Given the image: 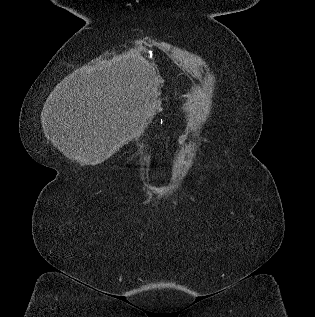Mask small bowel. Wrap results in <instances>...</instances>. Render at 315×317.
<instances>
[{"label":"small bowel","mask_w":315,"mask_h":317,"mask_svg":"<svg viewBox=\"0 0 315 317\" xmlns=\"http://www.w3.org/2000/svg\"><path fill=\"white\" fill-rule=\"evenodd\" d=\"M187 140V134H183L181 137H180V141L181 142H185Z\"/></svg>","instance_id":"small-bowel-1"}]
</instances>
